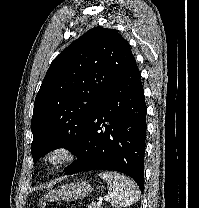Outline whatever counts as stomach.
Masks as SVG:
<instances>
[{"label": "stomach", "instance_id": "1", "mask_svg": "<svg viewBox=\"0 0 199 208\" xmlns=\"http://www.w3.org/2000/svg\"><path fill=\"white\" fill-rule=\"evenodd\" d=\"M92 186L85 181H77L66 185H61L57 189L49 191L44 200L48 201H72L88 196L92 192Z\"/></svg>", "mask_w": 199, "mask_h": 208}]
</instances>
